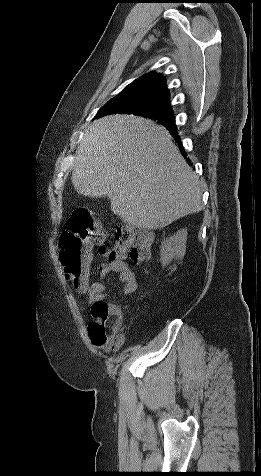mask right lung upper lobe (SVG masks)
I'll return each instance as SVG.
<instances>
[{"instance_id": "right-lung-upper-lobe-1", "label": "right lung upper lobe", "mask_w": 261, "mask_h": 476, "mask_svg": "<svg viewBox=\"0 0 261 476\" xmlns=\"http://www.w3.org/2000/svg\"><path fill=\"white\" fill-rule=\"evenodd\" d=\"M121 102L157 101L169 104V93L161 74L150 72L136 79L117 95ZM171 107V106H170Z\"/></svg>"}]
</instances>
